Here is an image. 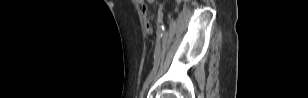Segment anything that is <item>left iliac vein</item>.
I'll return each mask as SVG.
<instances>
[{"label": "left iliac vein", "instance_id": "left-iliac-vein-1", "mask_svg": "<svg viewBox=\"0 0 308 98\" xmlns=\"http://www.w3.org/2000/svg\"><path fill=\"white\" fill-rule=\"evenodd\" d=\"M153 77H154V75L150 78L149 82L146 84V86H145L146 89L148 88L149 84H150L151 81L153 80ZM142 98H144V97L142 96Z\"/></svg>", "mask_w": 308, "mask_h": 98}]
</instances>
